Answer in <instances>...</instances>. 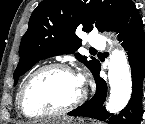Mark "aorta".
Listing matches in <instances>:
<instances>
[{"instance_id":"762f6f07","label":"aorta","mask_w":145,"mask_h":124,"mask_svg":"<svg viewBox=\"0 0 145 124\" xmlns=\"http://www.w3.org/2000/svg\"><path fill=\"white\" fill-rule=\"evenodd\" d=\"M108 80L110 97L106 109L110 113H118L128 104L132 94L131 72L124 51L115 49L110 54Z\"/></svg>"}]
</instances>
